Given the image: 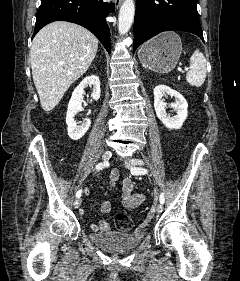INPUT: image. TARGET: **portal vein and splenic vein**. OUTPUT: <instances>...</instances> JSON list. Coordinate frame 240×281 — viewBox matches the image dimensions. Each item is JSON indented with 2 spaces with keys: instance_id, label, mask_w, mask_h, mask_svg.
<instances>
[{
  "instance_id": "18ae733b",
  "label": "portal vein and splenic vein",
  "mask_w": 240,
  "mask_h": 281,
  "mask_svg": "<svg viewBox=\"0 0 240 281\" xmlns=\"http://www.w3.org/2000/svg\"><path fill=\"white\" fill-rule=\"evenodd\" d=\"M178 70H179L180 72H183V70H182L181 68H178ZM184 71L187 72V71H188V68H185Z\"/></svg>"
}]
</instances>
